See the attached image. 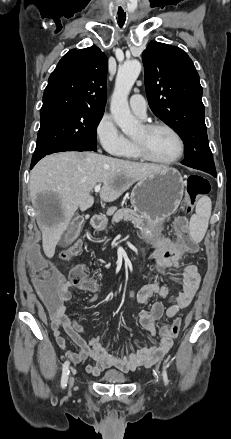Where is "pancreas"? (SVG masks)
<instances>
[{"label": "pancreas", "instance_id": "1", "mask_svg": "<svg viewBox=\"0 0 231 439\" xmlns=\"http://www.w3.org/2000/svg\"><path fill=\"white\" fill-rule=\"evenodd\" d=\"M131 222L136 227L145 226V217L139 214L136 210L129 208H122L117 210L112 216V224L118 223L120 221Z\"/></svg>", "mask_w": 231, "mask_h": 439}]
</instances>
